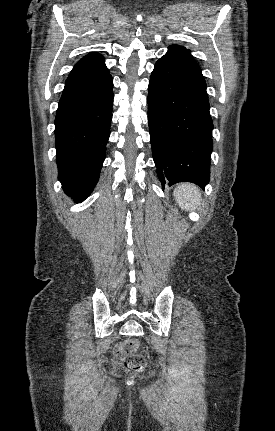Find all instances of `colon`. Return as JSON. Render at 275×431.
Returning a JSON list of instances; mask_svg holds the SVG:
<instances>
[{
	"instance_id": "1",
	"label": "colon",
	"mask_w": 275,
	"mask_h": 431,
	"mask_svg": "<svg viewBox=\"0 0 275 431\" xmlns=\"http://www.w3.org/2000/svg\"><path fill=\"white\" fill-rule=\"evenodd\" d=\"M138 346L137 340H129L122 344L125 366L132 371H139L146 365L145 357L137 352Z\"/></svg>"
}]
</instances>
